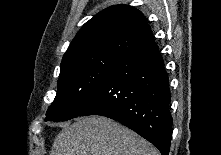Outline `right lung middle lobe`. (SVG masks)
Wrapping results in <instances>:
<instances>
[{
	"instance_id": "dd1d6c3e",
	"label": "right lung middle lobe",
	"mask_w": 221,
	"mask_h": 155,
	"mask_svg": "<svg viewBox=\"0 0 221 155\" xmlns=\"http://www.w3.org/2000/svg\"><path fill=\"white\" fill-rule=\"evenodd\" d=\"M124 56L102 53L75 60L61 69L58 91L45 121H65L79 116Z\"/></svg>"
}]
</instances>
